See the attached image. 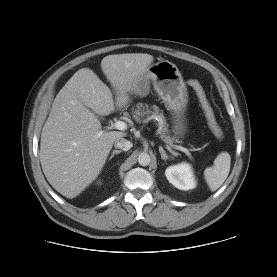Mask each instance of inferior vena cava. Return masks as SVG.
I'll return each instance as SVG.
<instances>
[{
    "instance_id": "602c4592",
    "label": "inferior vena cava",
    "mask_w": 277,
    "mask_h": 277,
    "mask_svg": "<svg viewBox=\"0 0 277 277\" xmlns=\"http://www.w3.org/2000/svg\"><path fill=\"white\" fill-rule=\"evenodd\" d=\"M114 143H115L114 147H116L118 149H122L124 151L130 150L133 146V144L125 138L117 139V140H115Z\"/></svg>"
}]
</instances>
